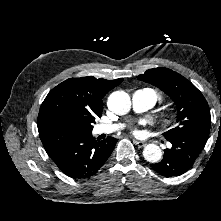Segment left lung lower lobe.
<instances>
[{
	"label": "left lung lower lobe",
	"mask_w": 221,
	"mask_h": 221,
	"mask_svg": "<svg viewBox=\"0 0 221 221\" xmlns=\"http://www.w3.org/2000/svg\"><path fill=\"white\" fill-rule=\"evenodd\" d=\"M209 132H193L173 139L171 149L164 150L161 162L151 167L165 177H176L187 172L194 164L208 139Z\"/></svg>",
	"instance_id": "0a47b994"
}]
</instances>
